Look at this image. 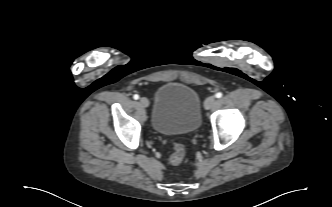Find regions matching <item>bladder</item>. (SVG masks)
<instances>
[{"instance_id":"1","label":"bladder","mask_w":332,"mask_h":207,"mask_svg":"<svg viewBox=\"0 0 332 207\" xmlns=\"http://www.w3.org/2000/svg\"><path fill=\"white\" fill-rule=\"evenodd\" d=\"M153 129L162 135L192 134L201 124L199 93L186 84L168 82L155 92Z\"/></svg>"}]
</instances>
